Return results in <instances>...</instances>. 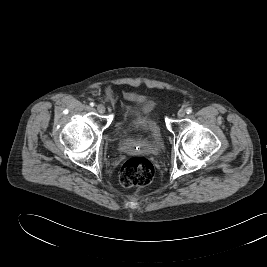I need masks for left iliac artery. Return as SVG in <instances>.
<instances>
[{
    "mask_svg": "<svg viewBox=\"0 0 267 267\" xmlns=\"http://www.w3.org/2000/svg\"><path fill=\"white\" fill-rule=\"evenodd\" d=\"M186 113H187V114L192 113V109H191V108H187V109H186Z\"/></svg>",
    "mask_w": 267,
    "mask_h": 267,
    "instance_id": "44dca946",
    "label": "left iliac artery"
}]
</instances>
